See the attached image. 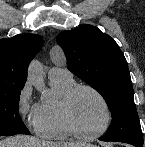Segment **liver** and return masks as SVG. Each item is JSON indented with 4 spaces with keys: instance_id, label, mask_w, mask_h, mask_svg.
Wrapping results in <instances>:
<instances>
[{
    "instance_id": "1",
    "label": "liver",
    "mask_w": 145,
    "mask_h": 147,
    "mask_svg": "<svg viewBox=\"0 0 145 147\" xmlns=\"http://www.w3.org/2000/svg\"><path fill=\"white\" fill-rule=\"evenodd\" d=\"M0 147H95L84 142H49L32 136L16 135L0 141Z\"/></svg>"
}]
</instances>
